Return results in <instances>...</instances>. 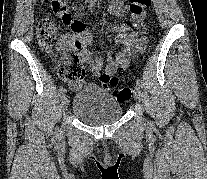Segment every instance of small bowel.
Masks as SVG:
<instances>
[{
	"instance_id": "1",
	"label": "small bowel",
	"mask_w": 207,
	"mask_h": 179,
	"mask_svg": "<svg viewBox=\"0 0 207 179\" xmlns=\"http://www.w3.org/2000/svg\"><path fill=\"white\" fill-rule=\"evenodd\" d=\"M125 1L126 0H112L108 6V12L117 17H122L125 13ZM55 15L62 19L64 23H69V15L62 13H55ZM72 29L75 35L72 39H64L60 44V49H66L70 46L79 51L83 63L90 68L95 76H101V69L104 66V59L102 56H93L91 52L87 50V47L91 44L93 35L90 29L86 28L80 21L72 23ZM117 36L116 43L124 46V49H120L114 56L107 58L106 74L109 76L114 75L117 70L127 67L129 59V51L133 53H140L144 47L133 42L134 34L130 32L128 25L116 26ZM76 86V85H75Z\"/></svg>"
}]
</instances>
